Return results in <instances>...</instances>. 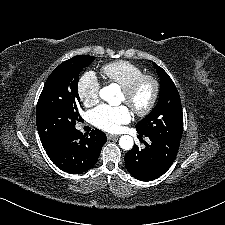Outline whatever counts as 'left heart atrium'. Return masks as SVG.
<instances>
[{"mask_svg": "<svg viewBox=\"0 0 225 225\" xmlns=\"http://www.w3.org/2000/svg\"><path fill=\"white\" fill-rule=\"evenodd\" d=\"M90 117L94 126L107 132H118L122 125L130 122L132 113L125 105L102 104L91 112Z\"/></svg>", "mask_w": 225, "mask_h": 225, "instance_id": "1", "label": "left heart atrium"}]
</instances>
